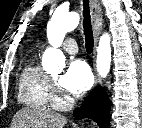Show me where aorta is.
<instances>
[{
    "instance_id": "762f6f07",
    "label": "aorta",
    "mask_w": 142,
    "mask_h": 128,
    "mask_svg": "<svg viewBox=\"0 0 142 128\" xmlns=\"http://www.w3.org/2000/svg\"><path fill=\"white\" fill-rule=\"evenodd\" d=\"M80 22V16L76 12L57 9L47 25V38L53 48L43 54L42 65L48 72L61 71L65 66V56L58 49L65 38L66 33L73 31ZM97 71L102 77L109 73L111 65L110 36L105 33L100 37L97 48Z\"/></svg>"
}]
</instances>
